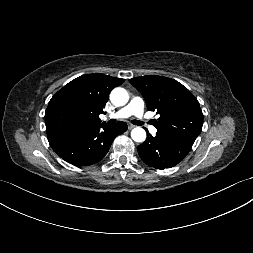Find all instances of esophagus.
I'll use <instances>...</instances> for the list:
<instances>
[{
    "instance_id": "obj_1",
    "label": "esophagus",
    "mask_w": 253,
    "mask_h": 253,
    "mask_svg": "<svg viewBox=\"0 0 253 253\" xmlns=\"http://www.w3.org/2000/svg\"><path fill=\"white\" fill-rule=\"evenodd\" d=\"M133 128H135V125L129 123V124H128V129H129V130H132Z\"/></svg>"
}]
</instances>
